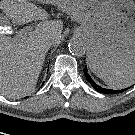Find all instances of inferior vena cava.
Returning a JSON list of instances; mask_svg holds the SVG:
<instances>
[{
	"label": "inferior vena cava",
	"instance_id": "inferior-vena-cava-1",
	"mask_svg": "<svg viewBox=\"0 0 135 135\" xmlns=\"http://www.w3.org/2000/svg\"><path fill=\"white\" fill-rule=\"evenodd\" d=\"M49 44H50V45L54 44V41H53L52 38L49 39Z\"/></svg>",
	"mask_w": 135,
	"mask_h": 135
}]
</instances>
